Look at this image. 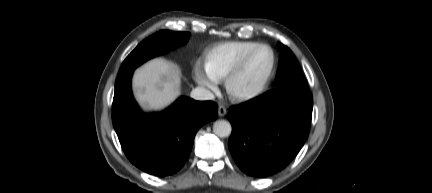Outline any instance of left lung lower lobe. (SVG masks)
<instances>
[{
  "instance_id": "1",
  "label": "left lung lower lobe",
  "mask_w": 432,
  "mask_h": 193,
  "mask_svg": "<svg viewBox=\"0 0 432 193\" xmlns=\"http://www.w3.org/2000/svg\"><path fill=\"white\" fill-rule=\"evenodd\" d=\"M312 107L311 93L302 89H274L232 106L228 145L239 168L264 177L287 166L305 143Z\"/></svg>"
}]
</instances>
